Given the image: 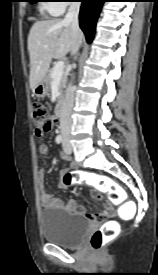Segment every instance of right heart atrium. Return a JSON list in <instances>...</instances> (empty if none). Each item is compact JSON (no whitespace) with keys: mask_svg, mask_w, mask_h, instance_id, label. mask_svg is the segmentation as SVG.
<instances>
[{"mask_svg":"<svg viewBox=\"0 0 158 275\" xmlns=\"http://www.w3.org/2000/svg\"><path fill=\"white\" fill-rule=\"evenodd\" d=\"M75 0H55L51 4V10L61 14L64 12L66 7L69 5V2H74Z\"/></svg>","mask_w":158,"mask_h":275,"instance_id":"obj_1","label":"right heart atrium"}]
</instances>
